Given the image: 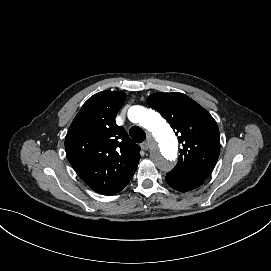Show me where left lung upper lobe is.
<instances>
[{
	"instance_id": "1",
	"label": "left lung upper lobe",
	"mask_w": 271,
	"mask_h": 271,
	"mask_svg": "<svg viewBox=\"0 0 271 271\" xmlns=\"http://www.w3.org/2000/svg\"><path fill=\"white\" fill-rule=\"evenodd\" d=\"M171 125L179 143V161L173 174L207 179L220 153V135L216 121L198 103L179 92H158L147 98Z\"/></svg>"
}]
</instances>
